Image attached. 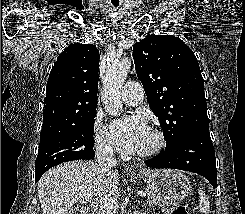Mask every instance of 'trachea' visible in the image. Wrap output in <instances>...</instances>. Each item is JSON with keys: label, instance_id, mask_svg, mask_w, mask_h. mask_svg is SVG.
Wrapping results in <instances>:
<instances>
[{"label": "trachea", "instance_id": "trachea-1", "mask_svg": "<svg viewBox=\"0 0 245 214\" xmlns=\"http://www.w3.org/2000/svg\"><path fill=\"white\" fill-rule=\"evenodd\" d=\"M113 5H114L115 7H117L119 4H118V3H114Z\"/></svg>", "mask_w": 245, "mask_h": 214}]
</instances>
